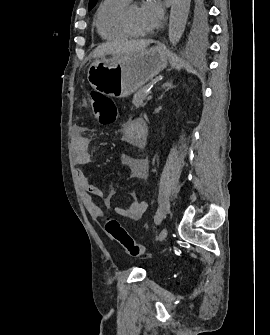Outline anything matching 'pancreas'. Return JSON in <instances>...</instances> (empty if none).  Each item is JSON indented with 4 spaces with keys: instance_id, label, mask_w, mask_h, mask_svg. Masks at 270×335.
<instances>
[{
    "instance_id": "1",
    "label": "pancreas",
    "mask_w": 270,
    "mask_h": 335,
    "mask_svg": "<svg viewBox=\"0 0 270 335\" xmlns=\"http://www.w3.org/2000/svg\"><path fill=\"white\" fill-rule=\"evenodd\" d=\"M146 86L144 88H140V90H137L136 94L133 96L132 104L136 106V108H145L147 102L144 104V100H146L147 96L146 94Z\"/></svg>"
}]
</instances>
